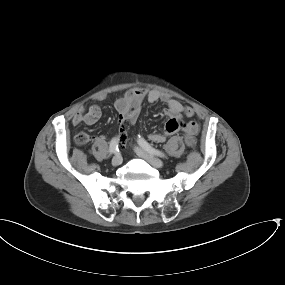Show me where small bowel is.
I'll list each match as a JSON object with an SVG mask.
<instances>
[{"instance_id": "c3829d8e", "label": "small bowel", "mask_w": 285, "mask_h": 285, "mask_svg": "<svg viewBox=\"0 0 285 285\" xmlns=\"http://www.w3.org/2000/svg\"><path fill=\"white\" fill-rule=\"evenodd\" d=\"M101 98H104V96ZM145 99L149 103L162 101L165 104L164 113L167 116L165 133L153 132L149 135L150 140L156 143H162L166 140L168 135H173L181 131L185 135L188 146H192L195 143L194 136L198 129L197 123L193 121L184 123L182 121L184 107L181 102L158 90L146 91L142 88L127 90L124 95L118 98L114 103L115 109L118 112L119 136L117 139H119V141H123L126 132L125 124H133L137 121L141 112L142 102ZM101 116L102 109L98 105H91L87 109L81 107L72 114V122L74 124L85 123L92 125L96 123ZM89 138L90 140L92 139L91 136H89ZM191 139L194 141L190 142Z\"/></svg>"}]
</instances>
